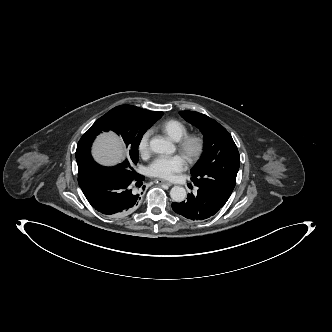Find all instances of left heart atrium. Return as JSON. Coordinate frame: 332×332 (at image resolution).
<instances>
[{
    "mask_svg": "<svg viewBox=\"0 0 332 332\" xmlns=\"http://www.w3.org/2000/svg\"><path fill=\"white\" fill-rule=\"evenodd\" d=\"M185 167L186 162L180 155L159 156L149 165L147 172L152 177L169 180Z\"/></svg>",
    "mask_w": 332,
    "mask_h": 332,
    "instance_id": "obj_1",
    "label": "left heart atrium"
}]
</instances>
